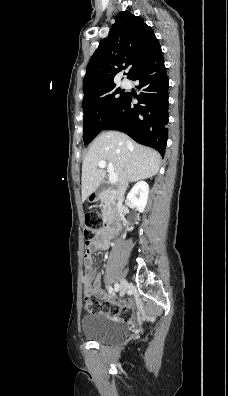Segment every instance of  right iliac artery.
<instances>
[{
  "label": "right iliac artery",
  "instance_id": "right-iliac-artery-1",
  "mask_svg": "<svg viewBox=\"0 0 228 396\" xmlns=\"http://www.w3.org/2000/svg\"><path fill=\"white\" fill-rule=\"evenodd\" d=\"M118 290H119V284L116 283V284L114 285V291H115V292H118ZM112 291H113V288H110V292H112Z\"/></svg>",
  "mask_w": 228,
  "mask_h": 396
}]
</instances>
